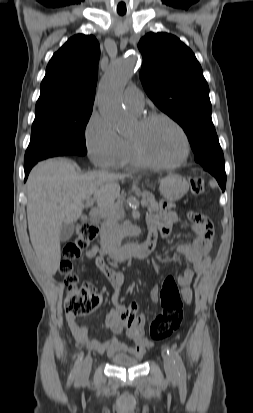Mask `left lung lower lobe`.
Returning <instances> with one entry per match:
<instances>
[{
  "mask_svg": "<svg viewBox=\"0 0 253 413\" xmlns=\"http://www.w3.org/2000/svg\"><path fill=\"white\" fill-rule=\"evenodd\" d=\"M204 170L208 171L211 173L218 181L220 187L222 188V191L225 190L226 187V173H225V168L223 167H204Z\"/></svg>",
  "mask_w": 253,
  "mask_h": 413,
  "instance_id": "1",
  "label": "left lung lower lobe"
}]
</instances>
